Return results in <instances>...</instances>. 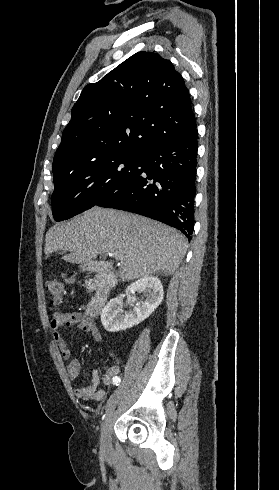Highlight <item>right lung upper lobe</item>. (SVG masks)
Instances as JSON below:
<instances>
[{"instance_id": "obj_1", "label": "right lung upper lobe", "mask_w": 279, "mask_h": 490, "mask_svg": "<svg viewBox=\"0 0 279 490\" xmlns=\"http://www.w3.org/2000/svg\"><path fill=\"white\" fill-rule=\"evenodd\" d=\"M196 126L189 91L171 62L137 52L83 89L55 153L53 176L112 152L143 157Z\"/></svg>"}]
</instances>
